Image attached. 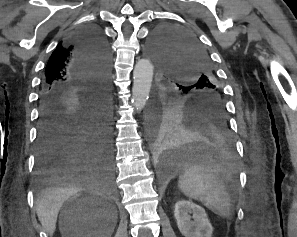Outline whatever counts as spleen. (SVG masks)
<instances>
[{"instance_id":"obj_1","label":"spleen","mask_w":297,"mask_h":237,"mask_svg":"<svg viewBox=\"0 0 297 237\" xmlns=\"http://www.w3.org/2000/svg\"><path fill=\"white\" fill-rule=\"evenodd\" d=\"M178 186L187 197L202 202L222 218H230V197L218 167L192 165L179 177Z\"/></svg>"}]
</instances>
